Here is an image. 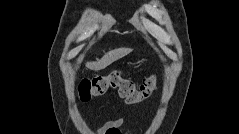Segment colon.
<instances>
[{
	"label": "colon",
	"instance_id": "colon-1",
	"mask_svg": "<svg viewBox=\"0 0 239 134\" xmlns=\"http://www.w3.org/2000/svg\"><path fill=\"white\" fill-rule=\"evenodd\" d=\"M156 89V78L145 79L139 87L130 78L124 77L120 71H112L105 75L83 78L78 87L81 102L101 96L110 90L118 92L126 102L136 104L148 99Z\"/></svg>",
	"mask_w": 239,
	"mask_h": 134
}]
</instances>
